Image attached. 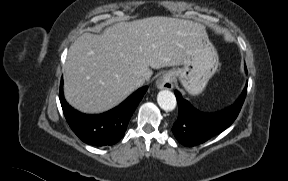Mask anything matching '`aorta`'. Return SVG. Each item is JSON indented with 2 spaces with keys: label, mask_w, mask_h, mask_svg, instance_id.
Masks as SVG:
<instances>
[{
  "label": "aorta",
  "mask_w": 288,
  "mask_h": 181,
  "mask_svg": "<svg viewBox=\"0 0 288 181\" xmlns=\"http://www.w3.org/2000/svg\"><path fill=\"white\" fill-rule=\"evenodd\" d=\"M157 102L159 106L165 111H172L176 107V97L174 93L169 90H162L157 95Z\"/></svg>",
  "instance_id": "1"
}]
</instances>
